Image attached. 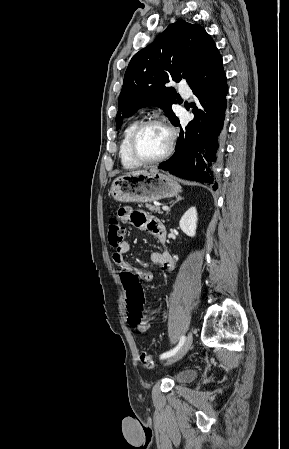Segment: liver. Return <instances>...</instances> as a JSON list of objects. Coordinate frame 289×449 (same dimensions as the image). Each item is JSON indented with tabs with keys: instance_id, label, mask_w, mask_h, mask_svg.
<instances>
[{
	"instance_id": "obj_1",
	"label": "liver",
	"mask_w": 289,
	"mask_h": 449,
	"mask_svg": "<svg viewBox=\"0 0 289 449\" xmlns=\"http://www.w3.org/2000/svg\"><path fill=\"white\" fill-rule=\"evenodd\" d=\"M146 172H147V171L139 170V171H134V172H131V173H128V174L136 175V174H141V173H146Z\"/></svg>"
}]
</instances>
